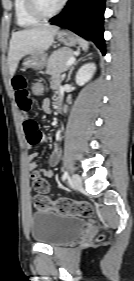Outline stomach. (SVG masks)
I'll list each match as a JSON object with an SVG mask.
<instances>
[{"instance_id":"0dacf381","label":"stomach","mask_w":134,"mask_h":281,"mask_svg":"<svg viewBox=\"0 0 134 281\" xmlns=\"http://www.w3.org/2000/svg\"><path fill=\"white\" fill-rule=\"evenodd\" d=\"M57 39L65 46H75L79 39L69 31H58ZM47 62V56L44 53L29 54L23 59V66L33 68L34 70H41Z\"/></svg>"}]
</instances>
